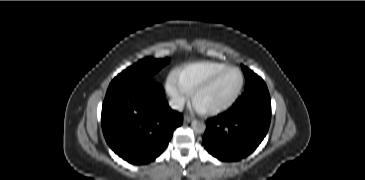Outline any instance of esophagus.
Wrapping results in <instances>:
<instances>
[{
  "mask_svg": "<svg viewBox=\"0 0 365 180\" xmlns=\"http://www.w3.org/2000/svg\"><path fill=\"white\" fill-rule=\"evenodd\" d=\"M192 120H193V117H191V116H189V115H185V116H184V122L189 123V122H191Z\"/></svg>",
  "mask_w": 365,
  "mask_h": 180,
  "instance_id": "esophagus-1",
  "label": "esophagus"
}]
</instances>
